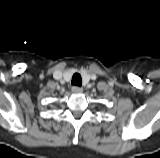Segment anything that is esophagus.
<instances>
[{"instance_id": "obj_1", "label": "esophagus", "mask_w": 160, "mask_h": 158, "mask_svg": "<svg viewBox=\"0 0 160 158\" xmlns=\"http://www.w3.org/2000/svg\"><path fill=\"white\" fill-rule=\"evenodd\" d=\"M83 91V89L79 86H73L72 87V92L77 94V93H81Z\"/></svg>"}]
</instances>
